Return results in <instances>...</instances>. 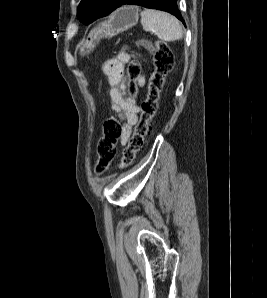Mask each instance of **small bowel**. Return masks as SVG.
<instances>
[{
    "instance_id": "1",
    "label": "small bowel",
    "mask_w": 267,
    "mask_h": 298,
    "mask_svg": "<svg viewBox=\"0 0 267 298\" xmlns=\"http://www.w3.org/2000/svg\"><path fill=\"white\" fill-rule=\"evenodd\" d=\"M130 59V54L121 50L114 58L107 60L103 65V73L109 84L108 100L113 116L122 115L124 117V119H120V139L122 143H125L130 137L132 127L136 124L140 112L137 101L127 94L124 66ZM138 83L143 87L145 77L140 76Z\"/></svg>"
}]
</instances>
